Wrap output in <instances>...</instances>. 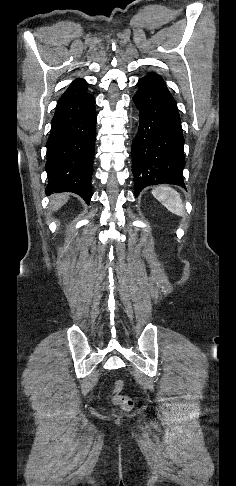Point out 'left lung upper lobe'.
I'll list each match as a JSON object with an SVG mask.
<instances>
[{
	"mask_svg": "<svg viewBox=\"0 0 236 486\" xmlns=\"http://www.w3.org/2000/svg\"><path fill=\"white\" fill-rule=\"evenodd\" d=\"M145 77L153 78V79L158 80V81H161V82H163L165 84L163 78L160 75H158V74H156L154 72L148 73Z\"/></svg>",
	"mask_w": 236,
	"mask_h": 486,
	"instance_id": "left-lung-upper-lobe-1",
	"label": "left lung upper lobe"
}]
</instances>
